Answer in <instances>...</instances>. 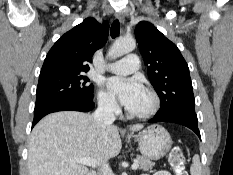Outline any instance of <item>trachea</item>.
Instances as JSON below:
<instances>
[{
    "instance_id": "obj_1",
    "label": "trachea",
    "mask_w": 233,
    "mask_h": 175,
    "mask_svg": "<svg viewBox=\"0 0 233 175\" xmlns=\"http://www.w3.org/2000/svg\"><path fill=\"white\" fill-rule=\"evenodd\" d=\"M111 37L116 38L120 33V23L119 20H115L111 25Z\"/></svg>"
}]
</instances>
